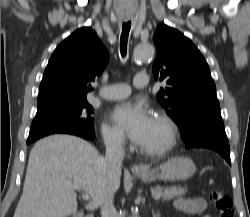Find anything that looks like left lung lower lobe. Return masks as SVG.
Listing matches in <instances>:
<instances>
[{"mask_svg":"<svg viewBox=\"0 0 250 217\" xmlns=\"http://www.w3.org/2000/svg\"><path fill=\"white\" fill-rule=\"evenodd\" d=\"M182 139L187 149H212L222 155L231 165L229 142L220 114H212L197 120L182 133Z\"/></svg>","mask_w":250,"mask_h":217,"instance_id":"obj_1","label":"left lung lower lobe"}]
</instances>
